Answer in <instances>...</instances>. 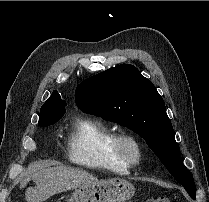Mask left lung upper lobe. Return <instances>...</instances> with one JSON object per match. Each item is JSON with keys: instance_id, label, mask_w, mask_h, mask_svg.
Returning a JSON list of instances; mask_svg holds the SVG:
<instances>
[{"instance_id": "1", "label": "left lung upper lobe", "mask_w": 209, "mask_h": 202, "mask_svg": "<svg viewBox=\"0 0 209 202\" xmlns=\"http://www.w3.org/2000/svg\"><path fill=\"white\" fill-rule=\"evenodd\" d=\"M75 100L83 112L140 135L191 198H196L194 179L182 162L164 101L137 68L121 64L84 80L76 88Z\"/></svg>"}]
</instances>
